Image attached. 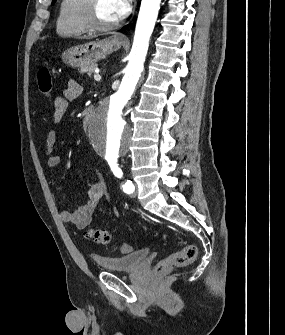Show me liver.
I'll return each instance as SVG.
<instances>
[{
  "label": "liver",
  "instance_id": "1",
  "mask_svg": "<svg viewBox=\"0 0 285 335\" xmlns=\"http://www.w3.org/2000/svg\"><path fill=\"white\" fill-rule=\"evenodd\" d=\"M83 38H87V36H83ZM83 38H82V40H83Z\"/></svg>",
  "mask_w": 285,
  "mask_h": 335
}]
</instances>
